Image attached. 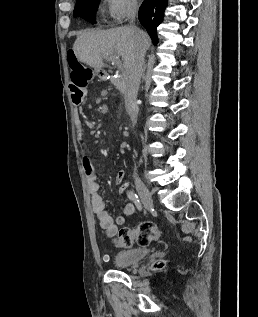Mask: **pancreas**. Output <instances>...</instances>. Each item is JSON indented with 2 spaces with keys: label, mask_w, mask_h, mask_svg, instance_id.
<instances>
[{
  "label": "pancreas",
  "mask_w": 258,
  "mask_h": 317,
  "mask_svg": "<svg viewBox=\"0 0 258 317\" xmlns=\"http://www.w3.org/2000/svg\"><path fill=\"white\" fill-rule=\"evenodd\" d=\"M113 82H117L118 86H120V84H125V81H121V78L118 77H113Z\"/></svg>",
  "instance_id": "obj_1"
}]
</instances>
